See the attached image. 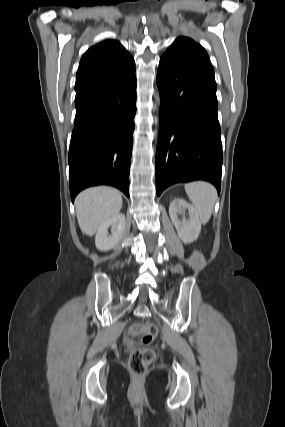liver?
<instances>
[{
  "label": "liver",
  "instance_id": "6515ba94",
  "mask_svg": "<svg viewBox=\"0 0 285 427\" xmlns=\"http://www.w3.org/2000/svg\"><path fill=\"white\" fill-rule=\"evenodd\" d=\"M75 207L82 233L93 236L103 223L119 214L122 197L109 187L89 188L76 197Z\"/></svg>",
  "mask_w": 285,
  "mask_h": 427
}]
</instances>
